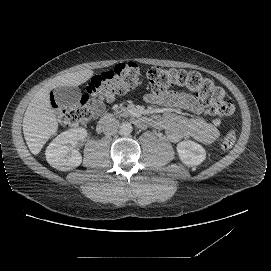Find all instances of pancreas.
Instances as JSON below:
<instances>
[{"mask_svg": "<svg viewBox=\"0 0 271 271\" xmlns=\"http://www.w3.org/2000/svg\"><path fill=\"white\" fill-rule=\"evenodd\" d=\"M120 111H121V112H126V111H127V109H126V108H124V107H121V108H120Z\"/></svg>", "mask_w": 271, "mask_h": 271, "instance_id": "cf45deb5", "label": "pancreas"}]
</instances>
